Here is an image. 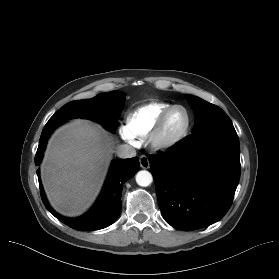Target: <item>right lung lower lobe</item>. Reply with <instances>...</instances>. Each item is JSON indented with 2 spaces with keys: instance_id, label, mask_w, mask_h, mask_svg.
Segmentation results:
<instances>
[{
  "instance_id": "obj_1",
  "label": "right lung lower lobe",
  "mask_w": 279,
  "mask_h": 279,
  "mask_svg": "<svg viewBox=\"0 0 279 279\" xmlns=\"http://www.w3.org/2000/svg\"><path fill=\"white\" fill-rule=\"evenodd\" d=\"M57 126L58 125H50L44 127L39 140L37 153L35 155V164L37 166H39L41 163L43 152L47 143V138ZM138 160L139 159L137 157H134L131 159H122L112 162L102 193L100 194L94 207L82 217L69 219L56 213L50 207L39 179L42 201L52 215L73 229L88 231L106 228L111 225L120 214L122 207V186L128 179L136 174L139 168Z\"/></svg>"
}]
</instances>
